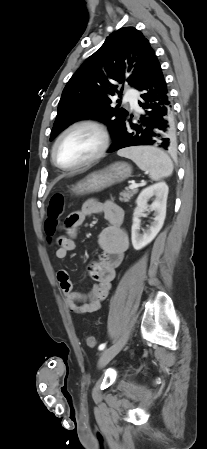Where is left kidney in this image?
<instances>
[{
  "label": "left kidney",
  "mask_w": 207,
  "mask_h": 449,
  "mask_svg": "<svg viewBox=\"0 0 207 449\" xmlns=\"http://www.w3.org/2000/svg\"><path fill=\"white\" fill-rule=\"evenodd\" d=\"M168 197V186L165 182H158L151 185L141 191L136 204L137 207L133 214L132 225V245L135 250H140L148 245L159 233L163 227L166 217V203ZM153 198V203L148 206L147 202ZM149 208V209H148ZM154 211V219L151 226L143 234L139 233L140 230V214L144 210Z\"/></svg>",
  "instance_id": "1"
}]
</instances>
